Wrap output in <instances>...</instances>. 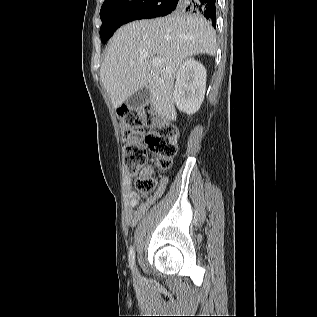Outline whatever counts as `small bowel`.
I'll use <instances>...</instances> for the list:
<instances>
[{"mask_svg": "<svg viewBox=\"0 0 317 317\" xmlns=\"http://www.w3.org/2000/svg\"><path fill=\"white\" fill-rule=\"evenodd\" d=\"M152 173L151 169H146L143 173L144 176L149 177ZM167 184V180L163 179L161 181L160 189L157 195H161L165 186ZM155 198L151 197L146 199L144 202L141 203L140 196L132 191H127V204H126V212H125V221L126 224L130 227L135 226L138 221L144 216L147 210L151 207L154 203Z\"/></svg>", "mask_w": 317, "mask_h": 317, "instance_id": "small-bowel-1", "label": "small bowel"}]
</instances>
